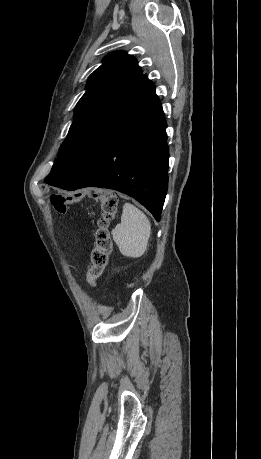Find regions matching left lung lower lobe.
<instances>
[{
	"instance_id": "0a47b994",
	"label": "left lung lower lobe",
	"mask_w": 261,
	"mask_h": 459,
	"mask_svg": "<svg viewBox=\"0 0 261 459\" xmlns=\"http://www.w3.org/2000/svg\"><path fill=\"white\" fill-rule=\"evenodd\" d=\"M166 126L154 91L91 160L57 187L114 189L135 198L159 221L168 188Z\"/></svg>"
}]
</instances>
